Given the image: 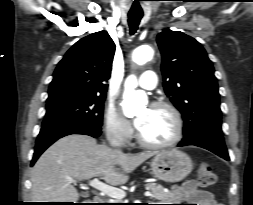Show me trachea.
Masks as SVG:
<instances>
[{"label":"trachea","mask_w":253,"mask_h":205,"mask_svg":"<svg viewBox=\"0 0 253 205\" xmlns=\"http://www.w3.org/2000/svg\"><path fill=\"white\" fill-rule=\"evenodd\" d=\"M143 14L142 13H129L128 14V24L130 28V35H133L137 29L138 25L141 21Z\"/></svg>","instance_id":"3493384b"}]
</instances>
